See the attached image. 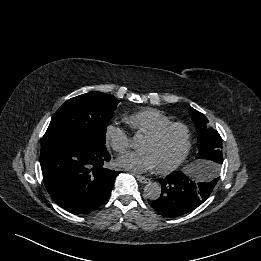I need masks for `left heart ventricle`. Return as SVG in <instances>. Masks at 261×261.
Returning <instances> with one entry per match:
<instances>
[{
  "instance_id": "b2bd125f",
  "label": "left heart ventricle",
  "mask_w": 261,
  "mask_h": 261,
  "mask_svg": "<svg viewBox=\"0 0 261 261\" xmlns=\"http://www.w3.org/2000/svg\"><path fill=\"white\" fill-rule=\"evenodd\" d=\"M185 146L184 132L179 128L171 129L160 140L144 138L140 149L148 151L154 158L156 167H164L174 162Z\"/></svg>"
}]
</instances>
